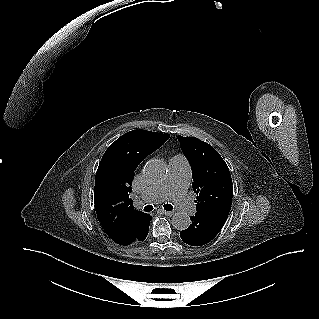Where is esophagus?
<instances>
[{
  "label": "esophagus",
  "instance_id": "1",
  "mask_svg": "<svg viewBox=\"0 0 319 319\" xmlns=\"http://www.w3.org/2000/svg\"><path fill=\"white\" fill-rule=\"evenodd\" d=\"M161 213L166 215V216H172L173 215V211L161 210Z\"/></svg>",
  "mask_w": 319,
  "mask_h": 319
}]
</instances>
